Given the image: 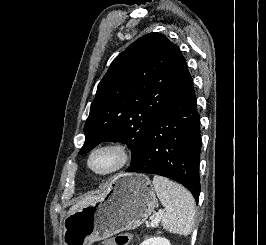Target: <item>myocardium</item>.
<instances>
[{
	"instance_id": "1",
	"label": "myocardium",
	"mask_w": 266,
	"mask_h": 245,
	"mask_svg": "<svg viewBox=\"0 0 266 245\" xmlns=\"http://www.w3.org/2000/svg\"><path fill=\"white\" fill-rule=\"evenodd\" d=\"M104 149L116 150L119 154V161L117 165L110 171L98 172L92 168L91 160L97 152L104 150ZM130 160H131V151L126 144L120 141H115V140L106 141V142L96 145L88 152L86 156V160H85V168L87 172L94 177L102 178V179L110 178L120 173L121 171H123L130 163Z\"/></svg>"
}]
</instances>
